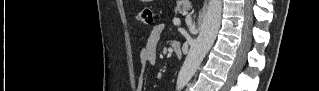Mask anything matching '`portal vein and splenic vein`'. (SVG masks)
Here are the masks:
<instances>
[{
  "mask_svg": "<svg viewBox=\"0 0 319 91\" xmlns=\"http://www.w3.org/2000/svg\"><path fill=\"white\" fill-rule=\"evenodd\" d=\"M173 23L176 24V25H180V20L179 19H174Z\"/></svg>",
  "mask_w": 319,
  "mask_h": 91,
  "instance_id": "portal-vein-and-splenic-vein-1",
  "label": "portal vein and splenic vein"
}]
</instances>
